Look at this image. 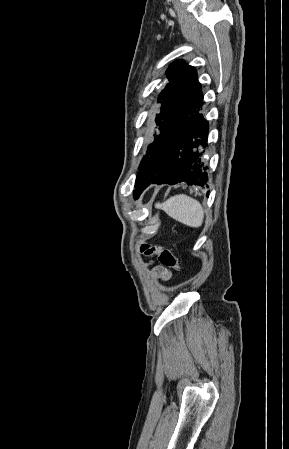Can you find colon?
<instances>
[{
    "label": "colon",
    "instance_id": "obj_1",
    "mask_svg": "<svg viewBox=\"0 0 289 449\" xmlns=\"http://www.w3.org/2000/svg\"><path fill=\"white\" fill-rule=\"evenodd\" d=\"M140 250L146 256L157 255L161 264L176 271H181L180 263L170 250L160 246H151L148 244L141 245Z\"/></svg>",
    "mask_w": 289,
    "mask_h": 449
}]
</instances>
